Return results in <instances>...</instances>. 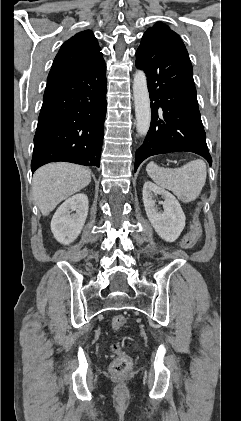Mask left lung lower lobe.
<instances>
[{
	"instance_id": "1",
	"label": "left lung lower lobe",
	"mask_w": 241,
	"mask_h": 421,
	"mask_svg": "<svg viewBox=\"0 0 241 421\" xmlns=\"http://www.w3.org/2000/svg\"><path fill=\"white\" fill-rule=\"evenodd\" d=\"M136 66L147 76L151 126L136 151L135 171L147 157L187 151L212 159L201 121L193 70L181 40L144 34L136 51Z\"/></svg>"
}]
</instances>
